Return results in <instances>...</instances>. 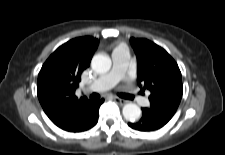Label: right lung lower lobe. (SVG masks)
I'll use <instances>...</instances> for the list:
<instances>
[{"label": "right lung lower lobe", "mask_w": 225, "mask_h": 155, "mask_svg": "<svg viewBox=\"0 0 225 155\" xmlns=\"http://www.w3.org/2000/svg\"><path fill=\"white\" fill-rule=\"evenodd\" d=\"M104 99L90 102L86 107L82 108L78 114L73 115L68 124L58 126L68 132H82L92 128L98 121V111Z\"/></svg>", "instance_id": "obj_1"}]
</instances>
